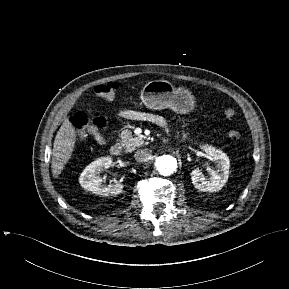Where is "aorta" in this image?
<instances>
[{
    "instance_id": "obj_1",
    "label": "aorta",
    "mask_w": 289,
    "mask_h": 289,
    "mask_svg": "<svg viewBox=\"0 0 289 289\" xmlns=\"http://www.w3.org/2000/svg\"><path fill=\"white\" fill-rule=\"evenodd\" d=\"M156 169L161 175L167 176L177 170V159L171 155H162L157 158L155 163Z\"/></svg>"
}]
</instances>
